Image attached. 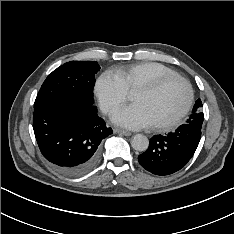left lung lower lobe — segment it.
<instances>
[{
    "instance_id": "left-lung-lower-lobe-1",
    "label": "left lung lower lobe",
    "mask_w": 234,
    "mask_h": 234,
    "mask_svg": "<svg viewBox=\"0 0 234 234\" xmlns=\"http://www.w3.org/2000/svg\"><path fill=\"white\" fill-rule=\"evenodd\" d=\"M200 138V127L183 124L166 136L152 137L148 149L138 156V161L155 175H170L187 164L195 153Z\"/></svg>"
}]
</instances>
